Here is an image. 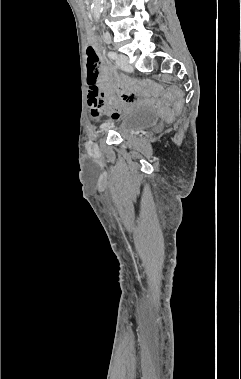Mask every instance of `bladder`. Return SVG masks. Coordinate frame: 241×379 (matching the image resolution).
I'll use <instances>...</instances> for the list:
<instances>
[{
  "label": "bladder",
  "mask_w": 241,
  "mask_h": 379,
  "mask_svg": "<svg viewBox=\"0 0 241 379\" xmlns=\"http://www.w3.org/2000/svg\"><path fill=\"white\" fill-rule=\"evenodd\" d=\"M159 119L157 112L151 108L139 107L127 114L121 121L119 132L127 137L135 132L150 128Z\"/></svg>",
  "instance_id": "bladder-1"
}]
</instances>
